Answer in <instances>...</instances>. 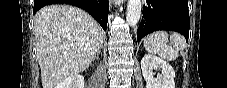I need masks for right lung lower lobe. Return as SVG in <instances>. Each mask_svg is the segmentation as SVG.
<instances>
[{
  "label": "right lung lower lobe",
  "instance_id": "1",
  "mask_svg": "<svg viewBox=\"0 0 227 88\" xmlns=\"http://www.w3.org/2000/svg\"><path fill=\"white\" fill-rule=\"evenodd\" d=\"M65 3L77 6L87 11L100 25L106 30L109 12V3L107 0H34L33 14L43 6Z\"/></svg>",
  "mask_w": 227,
  "mask_h": 88
}]
</instances>
